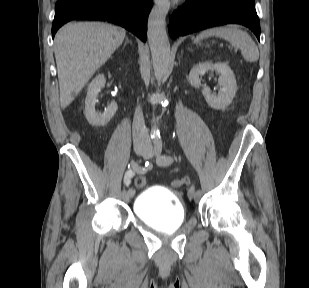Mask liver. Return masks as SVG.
Segmentation results:
<instances>
[{"instance_id": "obj_1", "label": "liver", "mask_w": 309, "mask_h": 288, "mask_svg": "<svg viewBox=\"0 0 309 288\" xmlns=\"http://www.w3.org/2000/svg\"><path fill=\"white\" fill-rule=\"evenodd\" d=\"M123 28L100 22L65 25L55 38L60 105L66 108L123 43Z\"/></svg>"}]
</instances>
